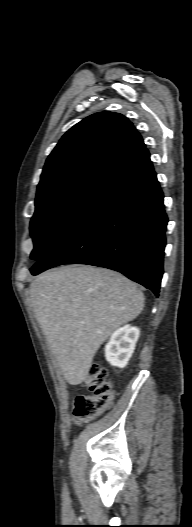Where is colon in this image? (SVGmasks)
<instances>
[{
    "label": "colon",
    "mask_w": 192,
    "mask_h": 527,
    "mask_svg": "<svg viewBox=\"0 0 192 527\" xmlns=\"http://www.w3.org/2000/svg\"><path fill=\"white\" fill-rule=\"evenodd\" d=\"M91 395L79 396L74 404L73 414L77 422H88L100 415L114 398L113 383L107 370L99 364H92L83 380Z\"/></svg>",
    "instance_id": "obj_1"
}]
</instances>
